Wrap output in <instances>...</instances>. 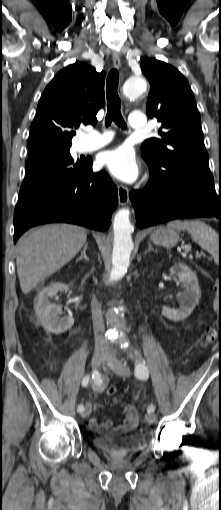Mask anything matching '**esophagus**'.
Returning a JSON list of instances; mask_svg holds the SVG:
<instances>
[{
	"instance_id": "1",
	"label": "esophagus",
	"mask_w": 221,
	"mask_h": 510,
	"mask_svg": "<svg viewBox=\"0 0 221 510\" xmlns=\"http://www.w3.org/2000/svg\"><path fill=\"white\" fill-rule=\"evenodd\" d=\"M113 65L115 68L119 69L121 67V60L117 53L113 54ZM118 199L119 204L124 206L129 202V190L126 186L119 185L118 186Z\"/></svg>"
}]
</instances>
